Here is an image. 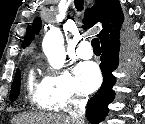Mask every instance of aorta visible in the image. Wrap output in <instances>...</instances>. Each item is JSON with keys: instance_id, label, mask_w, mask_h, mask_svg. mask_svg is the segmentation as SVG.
<instances>
[{"instance_id": "obj_1", "label": "aorta", "mask_w": 145, "mask_h": 124, "mask_svg": "<svg viewBox=\"0 0 145 124\" xmlns=\"http://www.w3.org/2000/svg\"><path fill=\"white\" fill-rule=\"evenodd\" d=\"M42 48L50 66L53 69H61L65 63L66 52L64 37L59 28L53 27L45 34Z\"/></svg>"}]
</instances>
